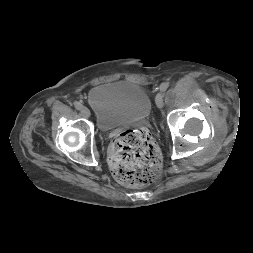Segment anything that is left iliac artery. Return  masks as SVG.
Listing matches in <instances>:
<instances>
[{
	"label": "left iliac artery",
	"instance_id": "1",
	"mask_svg": "<svg viewBox=\"0 0 253 253\" xmlns=\"http://www.w3.org/2000/svg\"><path fill=\"white\" fill-rule=\"evenodd\" d=\"M169 84L167 82L162 83L159 87L160 91H166L168 88Z\"/></svg>",
	"mask_w": 253,
	"mask_h": 253
}]
</instances>
